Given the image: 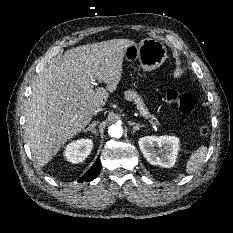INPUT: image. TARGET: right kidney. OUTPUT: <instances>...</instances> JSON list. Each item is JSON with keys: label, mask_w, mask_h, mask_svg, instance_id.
I'll return each instance as SVG.
<instances>
[{"label": "right kidney", "mask_w": 233, "mask_h": 233, "mask_svg": "<svg viewBox=\"0 0 233 233\" xmlns=\"http://www.w3.org/2000/svg\"><path fill=\"white\" fill-rule=\"evenodd\" d=\"M92 148L93 141L91 139H79L66 145L64 156L67 161L78 164L88 157Z\"/></svg>", "instance_id": "right-kidney-1"}]
</instances>
